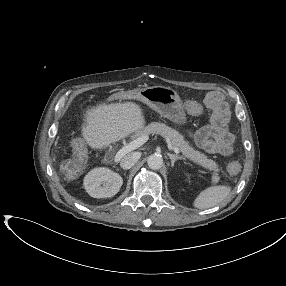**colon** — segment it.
Returning <instances> with one entry per match:
<instances>
[{"mask_svg":"<svg viewBox=\"0 0 286 286\" xmlns=\"http://www.w3.org/2000/svg\"><path fill=\"white\" fill-rule=\"evenodd\" d=\"M76 159H78L77 157H76ZM229 171L231 172V173H235V172H237L238 171V169H239V165H238V163H236V162H232L230 165H229Z\"/></svg>","mask_w":286,"mask_h":286,"instance_id":"5ec220e1","label":"colon"}]
</instances>
